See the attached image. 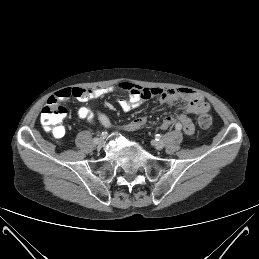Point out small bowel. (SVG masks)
<instances>
[{
    "label": "small bowel",
    "mask_w": 259,
    "mask_h": 259,
    "mask_svg": "<svg viewBox=\"0 0 259 259\" xmlns=\"http://www.w3.org/2000/svg\"><path fill=\"white\" fill-rule=\"evenodd\" d=\"M119 89L126 91L128 97L126 99H119L118 105L124 112L131 111L139 107L142 102L157 97L162 104L170 105L178 99L185 101L184 106L177 116L168 115L165 116L161 123L160 128L165 130L174 124H180L183 131L191 135L194 133V123L191 118L192 114H199L202 112H208L210 105L204 100L202 95L189 88H175V89H162L157 87H142L131 82H120L114 86L96 88V89H83V88H65L59 90L51 98L58 101L66 100L69 97H74L79 101H95L106 94ZM77 115L80 119H86L89 122H95L97 120L101 125L106 128L111 127V121L109 117L102 111L94 113L87 107H80L77 111ZM148 122L147 116H140L129 123L124 125L126 131H136L144 127Z\"/></svg>",
    "instance_id": "1"
}]
</instances>
